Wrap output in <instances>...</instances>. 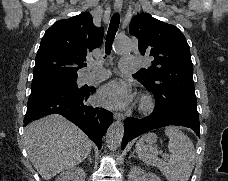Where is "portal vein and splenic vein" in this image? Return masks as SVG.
Here are the masks:
<instances>
[{
  "instance_id": "1",
  "label": "portal vein and splenic vein",
  "mask_w": 228,
  "mask_h": 181,
  "mask_svg": "<svg viewBox=\"0 0 228 181\" xmlns=\"http://www.w3.org/2000/svg\"><path fill=\"white\" fill-rule=\"evenodd\" d=\"M162 157H168V155H162Z\"/></svg>"
}]
</instances>
